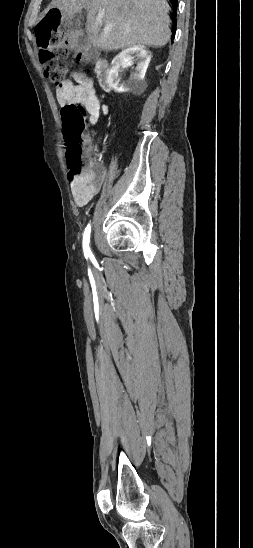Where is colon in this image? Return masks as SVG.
I'll use <instances>...</instances> for the list:
<instances>
[{
	"label": "colon",
	"mask_w": 253,
	"mask_h": 548,
	"mask_svg": "<svg viewBox=\"0 0 253 548\" xmlns=\"http://www.w3.org/2000/svg\"><path fill=\"white\" fill-rule=\"evenodd\" d=\"M65 28L60 11L50 10L36 26V38L40 49V60L46 77L58 88L68 82L67 65L63 59L67 56L64 44ZM77 61L90 60L94 51L83 43H78ZM86 110L81 105L70 104L62 109L65 126V142L67 146L66 160L71 179H76L85 173L99 174V167L85 158L84 132Z\"/></svg>",
	"instance_id": "1"
}]
</instances>
